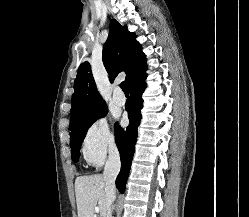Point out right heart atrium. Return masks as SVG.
Listing matches in <instances>:
<instances>
[{
    "label": "right heart atrium",
    "mask_w": 249,
    "mask_h": 217,
    "mask_svg": "<svg viewBox=\"0 0 249 217\" xmlns=\"http://www.w3.org/2000/svg\"><path fill=\"white\" fill-rule=\"evenodd\" d=\"M115 149V139L104 117L93 121L85 132L82 153L91 166H100L109 152Z\"/></svg>",
    "instance_id": "1"
}]
</instances>
